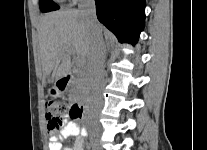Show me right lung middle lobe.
<instances>
[{
	"mask_svg": "<svg viewBox=\"0 0 207 150\" xmlns=\"http://www.w3.org/2000/svg\"><path fill=\"white\" fill-rule=\"evenodd\" d=\"M59 8L60 7L51 0H40V10L42 12H49Z\"/></svg>",
	"mask_w": 207,
	"mask_h": 150,
	"instance_id": "dd1d6c3e",
	"label": "right lung middle lobe"
}]
</instances>
